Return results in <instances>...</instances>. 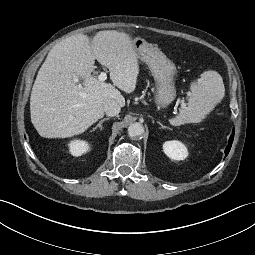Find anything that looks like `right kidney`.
Masks as SVG:
<instances>
[{
    "label": "right kidney",
    "instance_id": "ca27d5eb",
    "mask_svg": "<svg viewBox=\"0 0 255 255\" xmlns=\"http://www.w3.org/2000/svg\"><path fill=\"white\" fill-rule=\"evenodd\" d=\"M69 151L73 156H81L89 151V144L87 141L75 139L68 144Z\"/></svg>",
    "mask_w": 255,
    "mask_h": 255
}]
</instances>
